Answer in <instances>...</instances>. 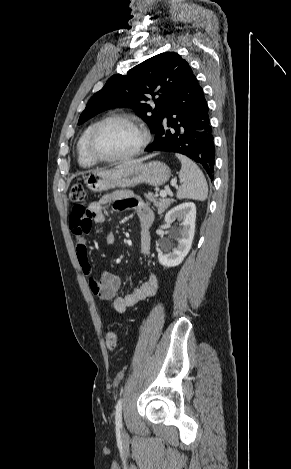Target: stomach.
Masks as SVG:
<instances>
[{
	"label": "stomach",
	"mask_w": 291,
	"mask_h": 469,
	"mask_svg": "<svg viewBox=\"0 0 291 469\" xmlns=\"http://www.w3.org/2000/svg\"><path fill=\"white\" fill-rule=\"evenodd\" d=\"M169 178L170 169L165 163L150 161L92 172L84 177V182L91 191L103 192L115 187H134L141 183L160 186L165 184Z\"/></svg>",
	"instance_id": "0dacf381"
}]
</instances>
